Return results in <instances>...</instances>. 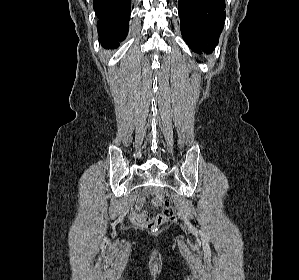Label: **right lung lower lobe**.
Returning <instances> with one entry per match:
<instances>
[{"instance_id":"98d812e1","label":"right lung lower lobe","mask_w":299,"mask_h":280,"mask_svg":"<svg viewBox=\"0 0 299 280\" xmlns=\"http://www.w3.org/2000/svg\"><path fill=\"white\" fill-rule=\"evenodd\" d=\"M93 6L101 45L116 48L128 33L131 0H93Z\"/></svg>"}]
</instances>
